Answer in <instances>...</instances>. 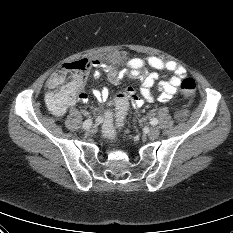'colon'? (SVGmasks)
<instances>
[{"mask_svg": "<svg viewBox=\"0 0 233 233\" xmlns=\"http://www.w3.org/2000/svg\"><path fill=\"white\" fill-rule=\"evenodd\" d=\"M90 66L91 63L86 59L66 63L52 74V83L57 87L79 84L86 79ZM196 87L193 78L182 79L179 86L181 93L185 96L194 95ZM128 106L126 95L117 94L102 121V130L108 140L114 141L116 128L123 126Z\"/></svg>", "mask_w": 233, "mask_h": 233, "instance_id": "1", "label": "colon"}]
</instances>
